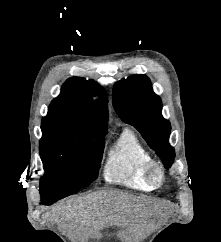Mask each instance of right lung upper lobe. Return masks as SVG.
<instances>
[{
    "label": "right lung upper lobe",
    "mask_w": 221,
    "mask_h": 242,
    "mask_svg": "<svg viewBox=\"0 0 221 242\" xmlns=\"http://www.w3.org/2000/svg\"><path fill=\"white\" fill-rule=\"evenodd\" d=\"M99 98L92 100L93 96ZM108 97L93 80L80 77L68 79L61 94L52 101L42 129H71L90 136L104 137L107 133Z\"/></svg>",
    "instance_id": "1"
}]
</instances>
